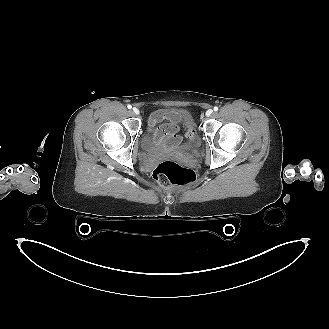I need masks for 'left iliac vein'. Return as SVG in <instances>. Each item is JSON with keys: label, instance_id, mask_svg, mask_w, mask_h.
<instances>
[{"label": "left iliac vein", "instance_id": "1", "mask_svg": "<svg viewBox=\"0 0 329 329\" xmlns=\"http://www.w3.org/2000/svg\"><path fill=\"white\" fill-rule=\"evenodd\" d=\"M213 113V110L212 109H208L207 111H206V116L208 117V116H210L211 114Z\"/></svg>", "mask_w": 329, "mask_h": 329}]
</instances>
